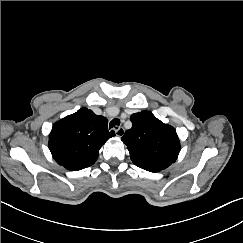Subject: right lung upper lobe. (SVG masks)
<instances>
[{"label":"right lung upper lobe","instance_id":"1","mask_svg":"<svg viewBox=\"0 0 243 243\" xmlns=\"http://www.w3.org/2000/svg\"><path fill=\"white\" fill-rule=\"evenodd\" d=\"M107 124V118L87 108L56 122L49 136V149L55 161L72 171L93 165L102 145L115 136Z\"/></svg>","mask_w":243,"mask_h":243}]
</instances>
